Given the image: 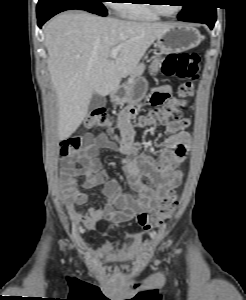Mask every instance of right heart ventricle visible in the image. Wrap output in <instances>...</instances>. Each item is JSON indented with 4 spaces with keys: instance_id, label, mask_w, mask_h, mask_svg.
Instances as JSON below:
<instances>
[{
    "instance_id": "obj_1",
    "label": "right heart ventricle",
    "mask_w": 246,
    "mask_h": 300,
    "mask_svg": "<svg viewBox=\"0 0 246 300\" xmlns=\"http://www.w3.org/2000/svg\"><path fill=\"white\" fill-rule=\"evenodd\" d=\"M149 0H127L114 4L117 13L127 19L139 22H155L160 16L153 10Z\"/></svg>"
}]
</instances>
